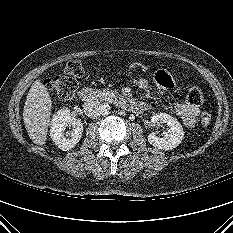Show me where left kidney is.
Returning <instances> with one entry per match:
<instances>
[{"mask_svg":"<svg viewBox=\"0 0 233 233\" xmlns=\"http://www.w3.org/2000/svg\"><path fill=\"white\" fill-rule=\"evenodd\" d=\"M151 123H166L169 127L163 137H158L155 133H150L148 135V142L152 146L167 151L172 150L181 144L184 137V131L177 119L166 113H158L151 117Z\"/></svg>","mask_w":233,"mask_h":233,"instance_id":"5707ae66","label":"left kidney"}]
</instances>
